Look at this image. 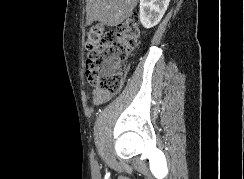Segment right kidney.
<instances>
[{
    "mask_svg": "<svg viewBox=\"0 0 244 179\" xmlns=\"http://www.w3.org/2000/svg\"><path fill=\"white\" fill-rule=\"evenodd\" d=\"M170 0H140V22L144 28H153L163 18Z\"/></svg>",
    "mask_w": 244,
    "mask_h": 179,
    "instance_id": "obj_1",
    "label": "right kidney"
}]
</instances>
